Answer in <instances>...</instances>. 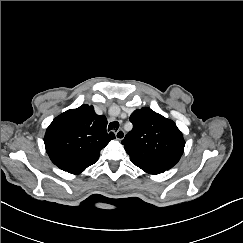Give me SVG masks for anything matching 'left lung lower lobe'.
<instances>
[{
    "instance_id": "0a47b994",
    "label": "left lung lower lobe",
    "mask_w": 243,
    "mask_h": 243,
    "mask_svg": "<svg viewBox=\"0 0 243 243\" xmlns=\"http://www.w3.org/2000/svg\"><path fill=\"white\" fill-rule=\"evenodd\" d=\"M132 163L149 174H159L168 170L167 168L159 167V166H152V165H147V164L137 163V162H132Z\"/></svg>"
}]
</instances>
